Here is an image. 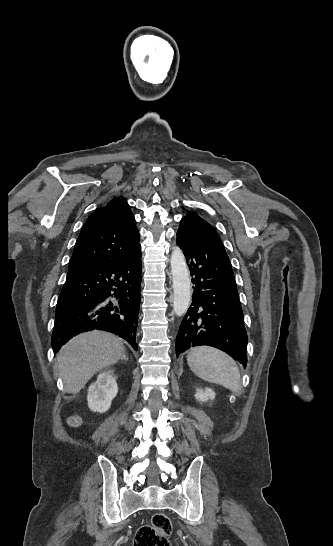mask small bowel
<instances>
[{"label":"small bowel","instance_id":"1","mask_svg":"<svg viewBox=\"0 0 333 546\" xmlns=\"http://www.w3.org/2000/svg\"><path fill=\"white\" fill-rule=\"evenodd\" d=\"M71 423H72V424L75 423V420L73 419Z\"/></svg>","mask_w":333,"mask_h":546}]
</instances>
